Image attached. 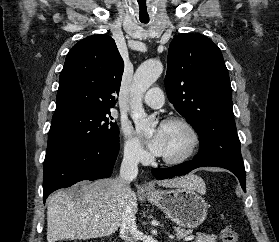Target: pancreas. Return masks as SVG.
<instances>
[{"mask_svg":"<svg viewBox=\"0 0 279 242\" xmlns=\"http://www.w3.org/2000/svg\"><path fill=\"white\" fill-rule=\"evenodd\" d=\"M174 231H176L177 236L180 238H183L189 234V231L185 229H181L179 227H174ZM217 236L216 235H198L194 242H217L216 241Z\"/></svg>","mask_w":279,"mask_h":242,"instance_id":"pancreas-1","label":"pancreas"}]
</instances>
